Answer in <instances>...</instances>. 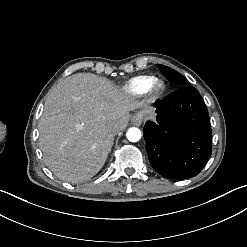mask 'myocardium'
I'll list each match as a JSON object with an SVG mask.
<instances>
[{
    "label": "myocardium",
    "instance_id": "obj_1",
    "mask_svg": "<svg viewBox=\"0 0 247 247\" xmlns=\"http://www.w3.org/2000/svg\"><path fill=\"white\" fill-rule=\"evenodd\" d=\"M165 90V84L162 80L156 79L149 84L146 90L148 98H158L160 97Z\"/></svg>",
    "mask_w": 247,
    "mask_h": 247
}]
</instances>
